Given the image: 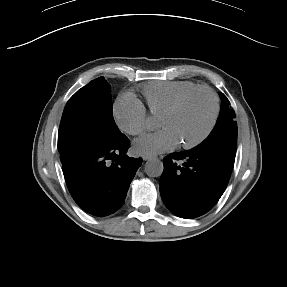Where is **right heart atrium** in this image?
Returning a JSON list of instances; mask_svg holds the SVG:
<instances>
[{"mask_svg": "<svg viewBox=\"0 0 287 287\" xmlns=\"http://www.w3.org/2000/svg\"><path fill=\"white\" fill-rule=\"evenodd\" d=\"M113 112L119 126L130 135H140L148 129L146 108L132 93L122 94L116 100Z\"/></svg>", "mask_w": 287, "mask_h": 287, "instance_id": "d8ad5b80", "label": "right heart atrium"}]
</instances>
